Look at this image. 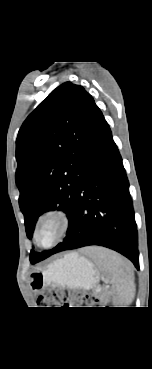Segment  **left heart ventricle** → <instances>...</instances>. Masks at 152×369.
I'll list each match as a JSON object with an SVG mask.
<instances>
[{"label": "left heart ventricle", "instance_id": "left-heart-ventricle-1", "mask_svg": "<svg viewBox=\"0 0 152 369\" xmlns=\"http://www.w3.org/2000/svg\"><path fill=\"white\" fill-rule=\"evenodd\" d=\"M58 233V225L55 221H48L40 230L39 239L43 245L50 244Z\"/></svg>", "mask_w": 152, "mask_h": 369}]
</instances>
